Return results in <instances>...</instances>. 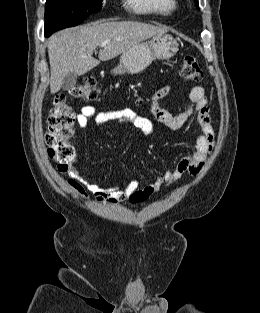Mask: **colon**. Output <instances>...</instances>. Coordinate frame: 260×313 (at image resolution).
I'll list each match as a JSON object with an SVG mask.
<instances>
[{"mask_svg":"<svg viewBox=\"0 0 260 313\" xmlns=\"http://www.w3.org/2000/svg\"><path fill=\"white\" fill-rule=\"evenodd\" d=\"M180 76L189 81H200L203 71L197 60L192 56H185L179 70ZM99 87L93 77L86 78L82 83L71 89V94L84 101L94 100L99 96ZM76 115L67 101L64 93L55 96L53 107L48 117V128L45 141L48 155L60 171H66L75 157V147L72 142Z\"/></svg>","mask_w":260,"mask_h":313,"instance_id":"obj_1","label":"colon"}]
</instances>
